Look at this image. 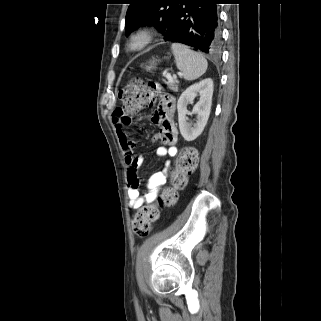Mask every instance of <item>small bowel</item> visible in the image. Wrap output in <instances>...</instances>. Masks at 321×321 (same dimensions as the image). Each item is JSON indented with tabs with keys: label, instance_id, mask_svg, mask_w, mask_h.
Returning <instances> with one entry per match:
<instances>
[{
	"label": "small bowel",
	"instance_id": "obj_1",
	"mask_svg": "<svg viewBox=\"0 0 321 321\" xmlns=\"http://www.w3.org/2000/svg\"><path fill=\"white\" fill-rule=\"evenodd\" d=\"M146 90H153V96H159L156 109L151 116V121L160 126V132L153 136L152 141L160 143L156 149L157 158H167L161 171L150 176L147 181V192L144 195L139 191L138 170L144 162V155L135 152L136 142L132 140L126 129L132 125L130 115L124 114L120 109L113 113L112 122L119 138L121 147L125 154V162L128 166V198L129 206L132 209H138L146 203L154 202L160 189L166 184L167 176L171 167V158L177 155V128L175 125V99L165 89L159 88L158 83H146Z\"/></svg>",
	"mask_w": 321,
	"mask_h": 321
}]
</instances>
